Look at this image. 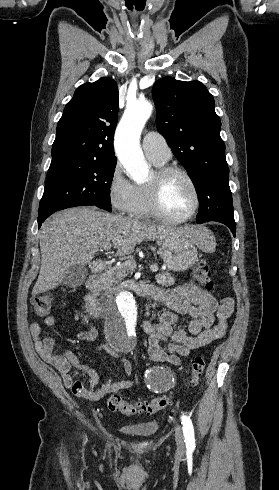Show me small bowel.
Here are the masks:
<instances>
[{
	"mask_svg": "<svg viewBox=\"0 0 279 490\" xmlns=\"http://www.w3.org/2000/svg\"><path fill=\"white\" fill-rule=\"evenodd\" d=\"M143 292L150 296L152 303L164 304L168 309L159 315L157 323H151L148 320L143 322V329L148 337V356L152 361L179 365L181 358L188 356L191 351L224 336L227 329L226 320L233 308L230 299L218 301L209 292L194 283H186L172 289L143 286ZM150 307L151 304L148 305L147 315L150 314ZM215 313L218 317L217 324H214ZM180 315L190 316L188 330L175 327ZM54 323L55 318L51 315L43 319L45 326H52ZM43 325L38 322L30 325L35 349L45 362L58 370L65 386L74 395L90 401H99L107 394L117 393L135 384L133 380L126 378L119 381L110 380L100 388H96L99 383V375L89 366L81 364L77 356L70 350L60 355L55 354L53 352L55 340L46 332ZM98 334V328L92 326L80 331L77 337L82 341L92 342L96 340ZM167 338H171V342L165 351L160 341ZM97 350L104 351L108 348L105 345H99ZM111 353L121 360L124 375L128 377L133 368L131 362L114 352ZM72 366L89 377L88 387L73 378L70 373Z\"/></svg>",
	"mask_w": 279,
	"mask_h": 490,
	"instance_id": "c3829d8e",
	"label": "small bowel"
}]
</instances>
